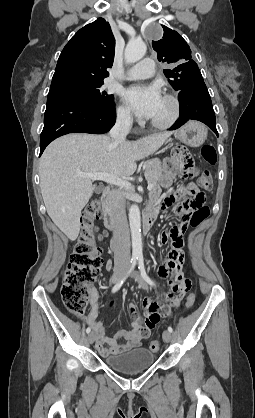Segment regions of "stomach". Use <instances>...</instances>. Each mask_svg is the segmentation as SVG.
<instances>
[{
    "label": "stomach",
    "mask_w": 255,
    "mask_h": 418,
    "mask_svg": "<svg viewBox=\"0 0 255 418\" xmlns=\"http://www.w3.org/2000/svg\"><path fill=\"white\" fill-rule=\"evenodd\" d=\"M206 137V128L202 124L194 121L187 123L175 133V138L192 147L203 144Z\"/></svg>",
    "instance_id": "1"
}]
</instances>
